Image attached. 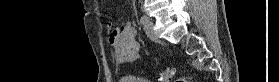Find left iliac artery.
<instances>
[{"label":"left iliac artery","mask_w":279,"mask_h":82,"mask_svg":"<svg viewBox=\"0 0 279 82\" xmlns=\"http://www.w3.org/2000/svg\"><path fill=\"white\" fill-rule=\"evenodd\" d=\"M146 21H148V17H145V16H141V17H140V22H141V23H144V22H146Z\"/></svg>","instance_id":"obj_1"}]
</instances>
